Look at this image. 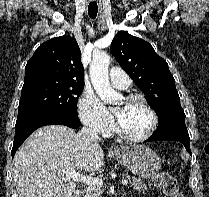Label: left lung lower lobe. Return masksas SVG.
Here are the masks:
<instances>
[{
  "label": "left lung lower lobe",
  "mask_w": 209,
  "mask_h": 197,
  "mask_svg": "<svg viewBox=\"0 0 209 197\" xmlns=\"http://www.w3.org/2000/svg\"><path fill=\"white\" fill-rule=\"evenodd\" d=\"M179 141L187 151L191 154L190 150V137L187 127L185 125V117H173L159 124L157 130L145 142L151 141Z\"/></svg>",
  "instance_id": "obj_1"
}]
</instances>
